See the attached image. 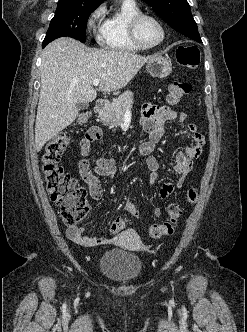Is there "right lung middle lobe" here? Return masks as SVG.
Masks as SVG:
<instances>
[{
	"label": "right lung middle lobe",
	"mask_w": 247,
	"mask_h": 332,
	"mask_svg": "<svg viewBox=\"0 0 247 332\" xmlns=\"http://www.w3.org/2000/svg\"><path fill=\"white\" fill-rule=\"evenodd\" d=\"M100 4L87 0H59L47 35L62 34L85 42L87 20Z\"/></svg>",
	"instance_id": "dd1d6c3e"
}]
</instances>
